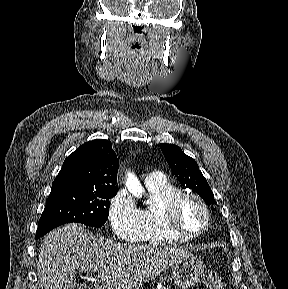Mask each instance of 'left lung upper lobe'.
<instances>
[{"label": "left lung upper lobe", "mask_w": 288, "mask_h": 289, "mask_svg": "<svg viewBox=\"0 0 288 289\" xmlns=\"http://www.w3.org/2000/svg\"><path fill=\"white\" fill-rule=\"evenodd\" d=\"M166 161L180 183L196 191L208 204H216L212 190L199 170L197 162L173 144H160Z\"/></svg>", "instance_id": "5c2ea615"}]
</instances>
